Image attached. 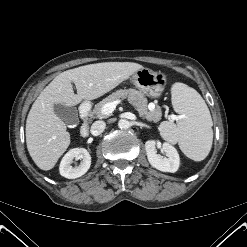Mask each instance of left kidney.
<instances>
[{
	"label": "left kidney",
	"mask_w": 247,
	"mask_h": 247,
	"mask_svg": "<svg viewBox=\"0 0 247 247\" xmlns=\"http://www.w3.org/2000/svg\"><path fill=\"white\" fill-rule=\"evenodd\" d=\"M146 154L152 167L162 172L174 173L180 165V158L177 150L169 143H163L162 150L167 157H161L157 154L156 142L148 140L145 143Z\"/></svg>",
	"instance_id": "1"
}]
</instances>
